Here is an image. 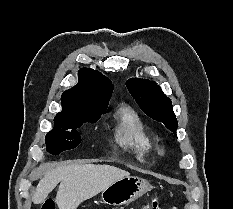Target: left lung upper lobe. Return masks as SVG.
<instances>
[{
	"label": "left lung upper lobe",
	"instance_id": "1",
	"mask_svg": "<svg viewBox=\"0 0 233 209\" xmlns=\"http://www.w3.org/2000/svg\"><path fill=\"white\" fill-rule=\"evenodd\" d=\"M132 97L142 111L152 119L162 122L176 136L177 119L171 100L154 81L132 78L126 82Z\"/></svg>",
	"mask_w": 233,
	"mask_h": 209
}]
</instances>
